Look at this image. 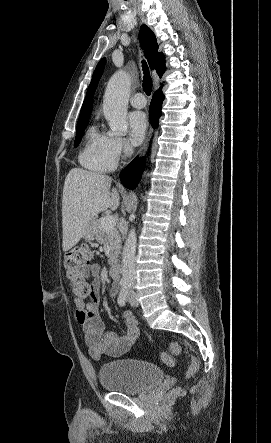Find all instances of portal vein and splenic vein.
I'll return each instance as SVG.
<instances>
[{"label": "portal vein and splenic vein", "instance_id": "portal-vein-and-splenic-vein-1", "mask_svg": "<svg viewBox=\"0 0 271 443\" xmlns=\"http://www.w3.org/2000/svg\"><path fill=\"white\" fill-rule=\"evenodd\" d=\"M101 225L104 229H111L116 225V218L114 216H105V218H101Z\"/></svg>", "mask_w": 271, "mask_h": 443}]
</instances>
